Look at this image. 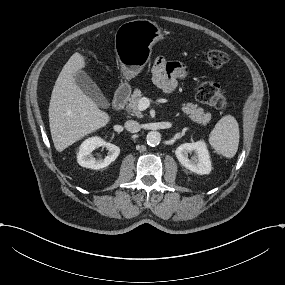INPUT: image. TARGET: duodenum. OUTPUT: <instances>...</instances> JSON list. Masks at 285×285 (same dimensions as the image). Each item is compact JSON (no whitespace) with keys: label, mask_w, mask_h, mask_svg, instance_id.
Here are the masks:
<instances>
[{"label":"duodenum","mask_w":285,"mask_h":285,"mask_svg":"<svg viewBox=\"0 0 285 285\" xmlns=\"http://www.w3.org/2000/svg\"><path fill=\"white\" fill-rule=\"evenodd\" d=\"M130 96V88L123 86L117 90L113 99V108L115 110H121Z\"/></svg>","instance_id":"duodenum-1"}]
</instances>
